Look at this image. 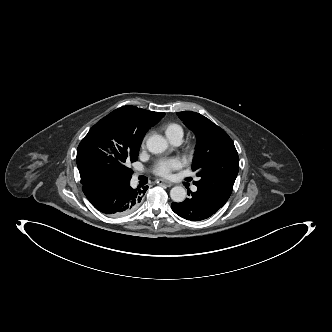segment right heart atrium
I'll return each mask as SVG.
<instances>
[{"label":"right heart atrium","mask_w":332,"mask_h":332,"mask_svg":"<svg viewBox=\"0 0 332 332\" xmlns=\"http://www.w3.org/2000/svg\"><path fill=\"white\" fill-rule=\"evenodd\" d=\"M144 143H145V140H144L143 143H142V147H144Z\"/></svg>","instance_id":"1"}]
</instances>
